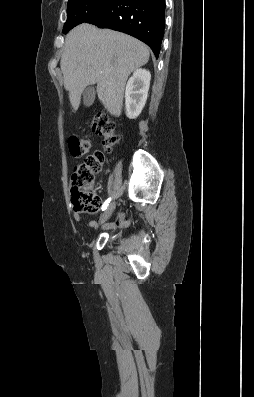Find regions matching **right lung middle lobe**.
<instances>
[{"label": "right lung middle lobe", "instance_id": "obj_1", "mask_svg": "<svg viewBox=\"0 0 254 397\" xmlns=\"http://www.w3.org/2000/svg\"><path fill=\"white\" fill-rule=\"evenodd\" d=\"M111 0H69L63 33L100 13Z\"/></svg>", "mask_w": 254, "mask_h": 397}]
</instances>
